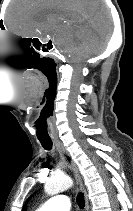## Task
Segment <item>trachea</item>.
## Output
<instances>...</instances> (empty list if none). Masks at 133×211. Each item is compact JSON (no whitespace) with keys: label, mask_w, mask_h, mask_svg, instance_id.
Listing matches in <instances>:
<instances>
[{"label":"trachea","mask_w":133,"mask_h":211,"mask_svg":"<svg viewBox=\"0 0 133 211\" xmlns=\"http://www.w3.org/2000/svg\"><path fill=\"white\" fill-rule=\"evenodd\" d=\"M40 143L44 149L50 150L52 148V141H40ZM76 201H77L78 206L83 208L84 202H85L84 194L78 193Z\"/></svg>","instance_id":"trachea-1"}]
</instances>
